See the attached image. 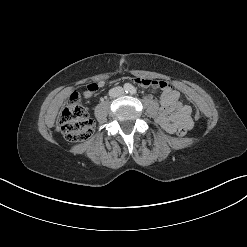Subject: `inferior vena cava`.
Returning a JSON list of instances; mask_svg holds the SVG:
<instances>
[{
  "label": "inferior vena cava",
  "mask_w": 247,
  "mask_h": 247,
  "mask_svg": "<svg viewBox=\"0 0 247 247\" xmlns=\"http://www.w3.org/2000/svg\"><path fill=\"white\" fill-rule=\"evenodd\" d=\"M123 93H124V90L120 86L114 87V88L109 90V96L112 98L119 97V96L123 95Z\"/></svg>",
  "instance_id": "1"
}]
</instances>
